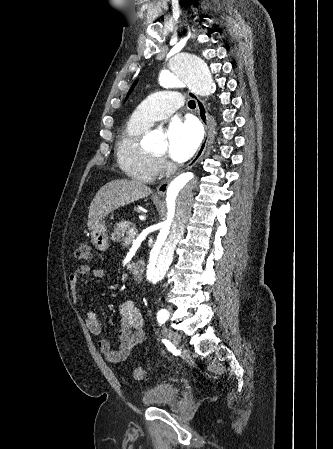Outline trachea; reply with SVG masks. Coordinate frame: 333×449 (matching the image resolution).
<instances>
[{"label":"trachea","instance_id":"1","mask_svg":"<svg viewBox=\"0 0 333 449\" xmlns=\"http://www.w3.org/2000/svg\"><path fill=\"white\" fill-rule=\"evenodd\" d=\"M188 106H189L191 109H194V108L196 107L195 101H194V100H190V101L188 102Z\"/></svg>","mask_w":333,"mask_h":449}]
</instances>
